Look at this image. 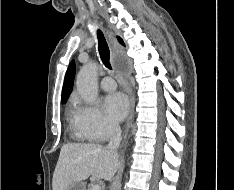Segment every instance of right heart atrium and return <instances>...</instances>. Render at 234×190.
<instances>
[{"mask_svg":"<svg viewBox=\"0 0 234 190\" xmlns=\"http://www.w3.org/2000/svg\"><path fill=\"white\" fill-rule=\"evenodd\" d=\"M75 119L81 133L94 141H104L118 130V125L109 119L98 105L78 101Z\"/></svg>","mask_w":234,"mask_h":190,"instance_id":"d8ad5b80","label":"right heart atrium"}]
</instances>
